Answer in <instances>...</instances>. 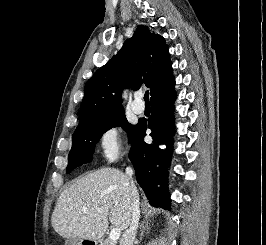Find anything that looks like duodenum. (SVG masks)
<instances>
[{
	"instance_id": "410a0bca",
	"label": "duodenum",
	"mask_w": 266,
	"mask_h": 245,
	"mask_svg": "<svg viewBox=\"0 0 266 245\" xmlns=\"http://www.w3.org/2000/svg\"><path fill=\"white\" fill-rule=\"evenodd\" d=\"M80 245H100L99 237H79Z\"/></svg>"
}]
</instances>
